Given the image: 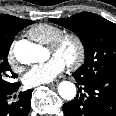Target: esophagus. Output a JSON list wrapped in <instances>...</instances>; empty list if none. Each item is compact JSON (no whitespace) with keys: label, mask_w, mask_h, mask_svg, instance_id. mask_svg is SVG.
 I'll list each match as a JSON object with an SVG mask.
<instances>
[{"label":"esophagus","mask_w":116,"mask_h":116,"mask_svg":"<svg viewBox=\"0 0 116 116\" xmlns=\"http://www.w3.org/2000/svg\"><path fill=\"white\" fill-rule=\"evenodd\" d=\"M47 86L54 87V86H56V84L55 83H49V84H47Z\"/></svg>","instance_id":"34e87169"}]
</instances>
